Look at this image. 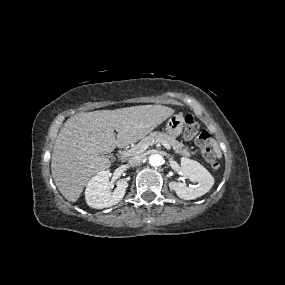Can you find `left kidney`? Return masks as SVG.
Instances as JSON below:
<instances>
[{
  "mask_svg": "<svg viewBox=\"0 0 285 285\" xmlns=\"http://www.w3.org/2000/svg\"><path fill=\"white\" fill-rule=\"evenodd\" d=\"M181 169L188 179L197 185L187 187L185 183L169 182L170 189L174 190L179 198L192 200L206 194L212 188V175L197 161L181 158Z\"/></svg>",
  "mask_w": 285,
  "mask_h": 285,
  "instance_id": "obj_1",
  "label": "left kidney"
}]
</instances>
